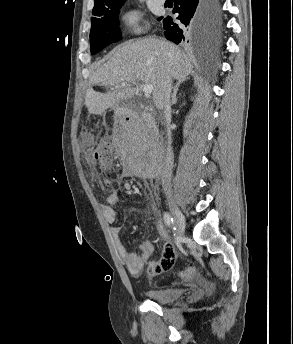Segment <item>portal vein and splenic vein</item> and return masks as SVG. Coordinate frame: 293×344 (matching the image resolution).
<instances>
[{
    "mask_svg": "<svg viewBox=\"0 0 293 344\" xmlns=\"http://www.w3.org/2000/svg\"><path fill=\"white\" fill-rule=\"evenodd\" d=\"M122 86H125V83L121 84ZM142 91L145 93V95H149L153 91V85L152 84H144L142 86Z\"/></svg>",
    "mask_w": 293,
    "mask_h": 344,
    "instance_id": "1",
    "label": "portal vein and splenic vein"
}]
</instances>
